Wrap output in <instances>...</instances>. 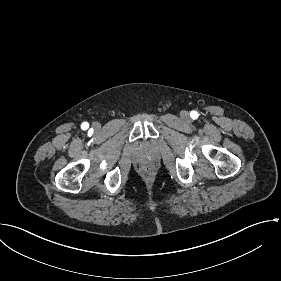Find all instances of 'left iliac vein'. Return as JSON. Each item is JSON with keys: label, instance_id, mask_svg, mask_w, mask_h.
I'll use <instances>...</instances> for the list:
<instances>
[{"label": "left iliac vein", "instance_id": "left-iliac-vein-1", "mask_svg": "<svg viewBox=\"0 0 281 281\" xmlns=\"http://www.w3.org/2000/svg\"><path fill=\"white\" fill-rule=\"evenodd\" d=\"M181 116H182V118L183 119H188L189 118V113L188 112H186V111H183L182 113H181Z\"/></svg>", "mask_w": 281, "mask_h": 281}]
</instances>
